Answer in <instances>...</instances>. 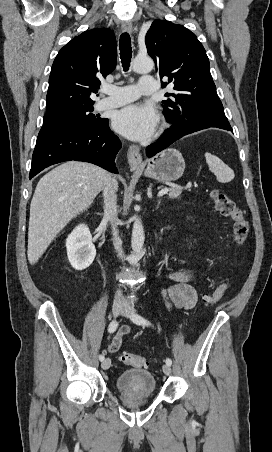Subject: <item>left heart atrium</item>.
Returning <instances> with one entry per match:
<instances>
[{
    "label": "left heart atrium",
    "instance_id": "1",
    "mask_svg": "<svg viewBox=\"0 0 272 452\" xmlns=\"http://www.w3.org/2000/svg\"><path fill=\"white\" fill-rule=\"evenodd\" d=\"M158 122V114L151 106L128 105L114 116L113 128L132 140L148 138Z\"/></svg>",
    "mask_w": 272,
    "mask_h": 452
}]
</instances>
